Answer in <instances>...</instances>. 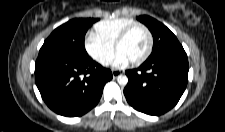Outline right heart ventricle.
<instances>
[{"label": "right heart ventricle", "mask_w": 225, "mask_h": 132, "mask_svg": "<svg viewBox=\"0 0 225 132\" xmlns=\"http://www.w3.org/2000/svg\"><path fill=\"white\" fill-rule=\"evenodd\" d=\"M130 18L103 20L95 24L94 35L102 42L114 46L118 36L129 26L136 24Z\"/></svg>", "instance_id": "1"}]
</instances>
